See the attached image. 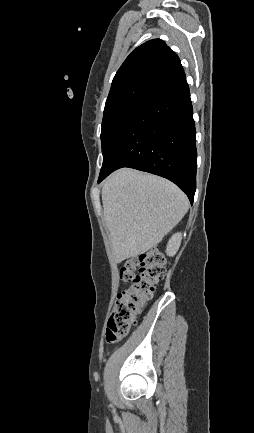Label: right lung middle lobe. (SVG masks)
<instances>
[{
    "label": "right lung middle lobe",
    "mask_w": 254,
    "mask_h": 433,
    "mask_svg": "<svg viewBox=\"0 0 254 433\" xmlns=\"http://www.w3.org/2000/svg\"><path fill=\"white\" fill-rule=\"evenodd\" d=\"M145 102L146 100L133 99L105 107L101 131L102 168L105 166L119 134Z\"/></svg>",
    "instance_id": "right-lung-middle-lobe-1"
}]
</instances>
